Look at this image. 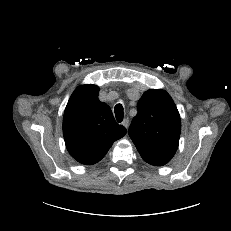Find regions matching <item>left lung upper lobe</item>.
I'll use <instances>...</instances> for the list:
<instances>
[{
	"mask_svg": "<svg viewBox=\"0 0 231 231\" xmlns=\"http://www.w3.org/2000/svg\"><path fill=\"white\" fill-rule=\"evenodd\" d=\"M129 135L143 160L167 164L178 149L181 120L175 103L162 89L146 91L139 99Z\"/></svg>",
	"mask_w": 231,
	"mask_h": 231,
	"instance_id": "left-lung-upper-lobe-1",
	"label": "left lung upper lobe"
}]
</instances>
